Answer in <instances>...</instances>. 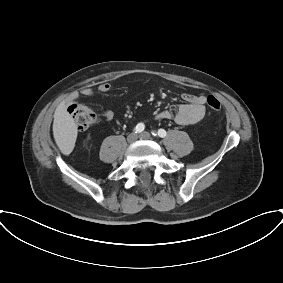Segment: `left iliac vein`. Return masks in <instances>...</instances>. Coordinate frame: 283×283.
Listing matches in <instances>:
<instances>
[{
    "label": "left iliac vein",
    "mask_w": 283,
    "mask_h": 283,
    "mask_svg": "<svg viewBox=\"0 0 283 283\" xmlns=\"http://www.w3.org/2000/svg\"><path fill=\"white\" fill-rule=\"evenodd\" d=\"M139 138L140 139H151V135L149 132H142L140 135H139Z\"/></svg>",
    "instance_id": "obj_1"
}]
</instances>
